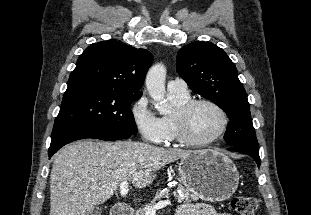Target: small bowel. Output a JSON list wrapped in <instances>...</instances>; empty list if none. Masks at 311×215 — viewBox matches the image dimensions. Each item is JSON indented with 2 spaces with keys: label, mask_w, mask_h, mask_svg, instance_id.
<instances>
[{
  "label": "small bowel",
  "mask_w": 311,
  "mask_h": 215,
  "mask_svg": "<svg viewBox=\"0 0 311 215\" xmlns=\"http://www.w3.org/2000/svg\"><path fill=\"white\" fill-rule=\"evenodd\" d=\"M176 215H231L229 213L217 212L206 204H184L179 206Z\"/></svg>",
  "instance_id": "1"
}]
</instances>
